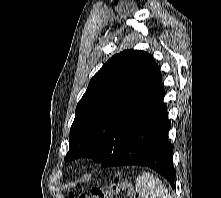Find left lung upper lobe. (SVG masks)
Wrapping results in <instances>:
<instances>
[{"label": "left lung upper lobe", "instance_id": "left-lung-upper-lobe-1", "mask_svg": "<svg viewBox=\"0 0 221 198\" xmlns=\"http://www.w3.org/2000/svg\"><path fill=\"white\" fill-rule=\"evenodd\" d=\"M165 92L151 55L126 50L93 76L76 107L65 160L103 162L151 115Z\"/></svg>", "mask_w": 221, "mask_h": 198}]
</instances>
